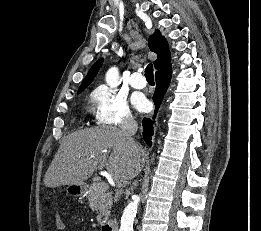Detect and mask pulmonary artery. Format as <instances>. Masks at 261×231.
<instances>
[{"label": "pulmonary artery", "mask_w": 261, "mask_h": 231, "mask_svg": "<svg viewBox=\"0 0 261 231\" xmlns=\"http://www.w3.org/2000/svg\"><path fill=\"white\" fill-rule=\"evenodd\" d=\"M130 85L135 89H143L146 87V80L140 71L133 72L130 78Z\"/></svg>", "instance_id": "pulmonary-artery-1"}]
</instances>
